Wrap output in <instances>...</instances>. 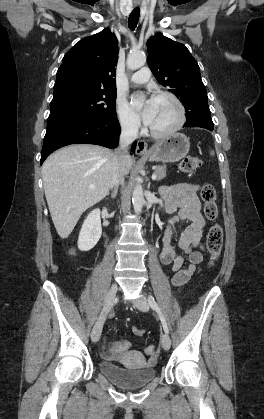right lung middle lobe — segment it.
I'll return each mask as SVG.
<instances>
[{
	"instance_id": "1",
	"label": "right lung middle lobe",
	"mask_w": 264,
	"mask_h": 419,
	"mask_svg": "<svg viewBox=\"0 0 264 419\" xmlns=\"http://www.w3.org/2000/svg\"><path fill=\"white\" fill-rule=\"evenodd\" d=\"M116 91L70 84L54 89L47 130L74 118L116 117Z\"/></svg>"
}]
</instances>
